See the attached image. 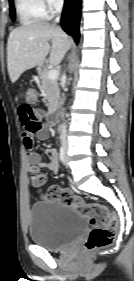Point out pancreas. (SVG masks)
Here are the masks:
<instances>
[{
	"mask_svg": "<svg viewBox=\"0 0 134 281\" xmlns=\"http://www.w3.org/2000/svg\"><path fill=\"white\" fill-rule=\"evenodd\" d=\"M48 72V69H44L40 73L41 88L48 101V111L53 112L59 104V87L56 79H50L48 77Z\"/></svg>",
	"mask_w": 134,
	"mask_h": 281,
	"instance_id": "1",
	"label": "pancreas"
}]
</instances>
